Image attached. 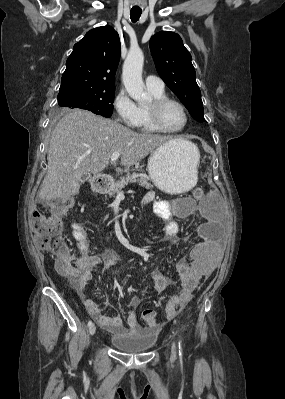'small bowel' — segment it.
Returning <instances> with one entry per match:
<instances>
[{"label": "small bowel", "instance_id": "obj_1", "mask_svg": "<svg viewBox=\"0 0 285 399\" xmlns=\"http://www.w3.org/2000/svg\"><path fill=\"white\" fill-rule=\"evenodd\" d=\"M152 204L154 213L164 221L163 233L164 242L176 246L179 243V225L174 219V215L169 209L168 201L157 199L153 191H148L143 198V205ZM198 214L204 219L202 227L199 229V242L192 246L189 259L181 258L173 264L175 275L180 279L182 290L174 294L168 304L175 303L184 305L189 301L192 293L198 288L199 284L209 275L217 263L219 256V245L215 240V227L217 221L213 217L214 211L210 206H198ZM192 213H183L182 217L191 216ZM71 234L74 238L80 237V226L71 225ZM101 263V259L95 256L80 255L76 257L75 265L80 273L77 281L79 290H83L86 283L92 279L94 268ZM157 293L164 292L171 284V276L160 271L148 274ZM139 304L138 299H133L130 303V312L127 315V327L124 328L119 316H109L102 313L98 304L92 300H85L87 312L93 317L97 324L109 333L123 334L127 331H134L138 328L137 315L135 309ZM171 318V317H169Z\"/></svg>", "mask_w": 285, "mask_h": 399}]
</instances>
